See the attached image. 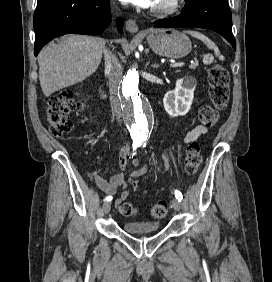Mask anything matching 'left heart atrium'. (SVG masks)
Masks as SVG:
<instances>
[{"mask_svg":"<svg viewBox=\"0 0 272 282\" xmlns=\"http://www.w3.org/2000/svg\"><path fill=\"white\" fill-rule=\"evenodd\" d=\"M124 1H128L130 3H133L141 7H145V8L152 7L155 2V0H124Z\"/></svg>","mask_w":272,"mask_h":282,"instance_id":"left-heart-atrium-1","label":"left heart atrium"}]
</instances>
